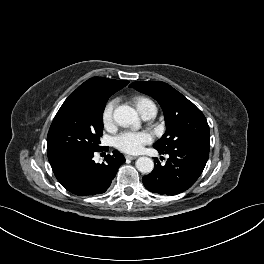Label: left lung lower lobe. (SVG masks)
Wrapping results in <instances>:
<instances>
[{
	"mask_svg": "<svg viewBox=\"0 0 264 264\" xmlns=\"http://www.w3.org/2000/svg\"><path fill=\"white\" fill-rule=\"evenodd\" d=\"M168 154L166 164L162 166L154 158V170L142 178L147 190L153 193L176 195L190 188L201 175L209 156V146L182 143L177 147L162 151Z\"/></svg>",
	"mask_w": 264,
	"mask_h": 264,
	"instance_id": "left-lung-lower-lobe-1",
	"label": "left lung lower lobe"
}]
</instances>
